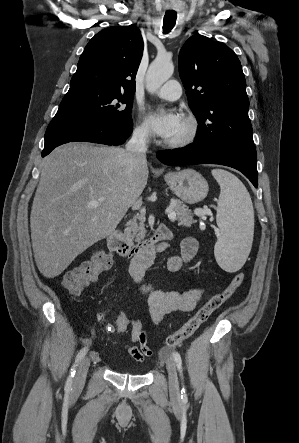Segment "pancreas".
I'll list each match as a JSON object with an SVG mask.
<instances>
[{"label":"pancreas","instance_id":"pancreas-1","mask_svg":"<svg viewBox=\"0 0 299 443\" xmlns=\"http://www.w3.org/2000/svg\"><path fill=\"white\" fill-rule=\"evenodd\" d=\"M172 209L176 213L175 220L178 221L179 226L190 227L195 220L191 210L183 204L179 199L172 200ZM145 215L144 213L136 214L131 220L126 223L124 235L129 241L135 240L140 242L145 238L146 230L144 228Z\"/></svg>","mask_w":299,"mask_h":443}]
</instances>
